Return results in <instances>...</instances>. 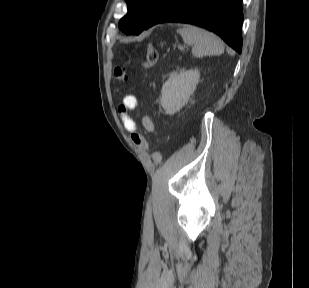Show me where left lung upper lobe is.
Instances as JSON below:
<instances>
[{"label": "left lung upper lobe", "mask_w": 309, "mask_h": 288, "mask_svg": "<svg viewBox=\"0 0 309 288\" xmlns=\"http://www.w3.org/2000/svg\"><path fill=\"white\" fill-rule=\"evenodd\" d=\"M164 0H126L128 13L119 21L126 34H136L146 25Z\"/></svg>", "instance_id": "1"}]
</instances>
